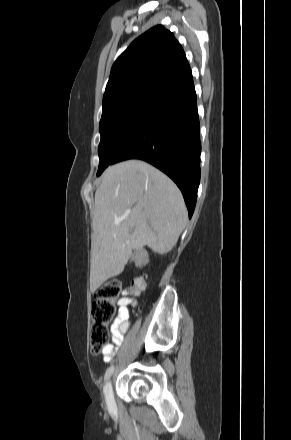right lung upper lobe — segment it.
<instances>
[{
	"mask_svg": "<svg viewBox=\"0 0 291 440\" xmlns=\"http://www.w3.org/2000/svg\"><path fill=\"white\" fill-rule=\"evenodd\" d=\"M190 74L180 43L157 25L135 39L115 61L103 106L138 96L156 97Z\"/></svg>",
	"mask_w": 291,
	"mask_h": 440,
	"instance_id": "cb5924a9",
	"label": "right lung upper lobe"
}]
</instances>
